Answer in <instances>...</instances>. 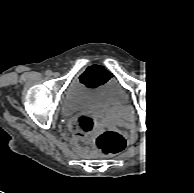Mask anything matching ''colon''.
<instances>
[{
  "instance_id": "obj_1",
  "label": "colon",
  "mask_w": 194,
  "mask_h": 193,
  "mask_svg": "<svg viewBox=\"0 0 194 193\" xmlns=\"http://www.w3.org/2000/svg\"><path fill=\"white\" fill-rule=\"evenodd\" d=\"M96 142L102 152L106 154L118 153L125 147V139L116 132H106L100 135Z\"/></svg>"
}]
</instances>
